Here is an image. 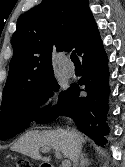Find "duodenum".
I'll return each mask as SVG.
<instances>
[{"label": "duodenum", "mask_w": 125, "mask_h": 167, "mask_svg": "<svg viewBox=\"0 0 125 167\" xmlns=\"http://www.w3.org/2000/svg\"><path fill=\"white\" fill-rule=\"evenodd\" d=\"M42 167H54V166L47 164V163H44V164H42Z\"/></svg>", "instance_id": "obj_1"}]
</instances>
